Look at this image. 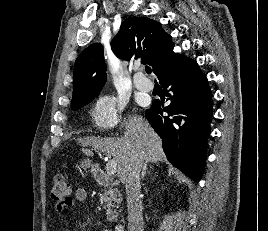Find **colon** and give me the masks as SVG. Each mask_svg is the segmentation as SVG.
<instances>
[{"instance_id":"1","label":"colon","mask_w":268,"mask_h":231,"mask_svg":"<svg viewBox=\"0 0 268 231\" xmlns=\"http://www.w3.org/2000/svg\"><path fill=\"white\" fill-rule=\"evenodd\" d=\"M50 194L53 200L61 204L69 203L70 187L65 177L60 174L54 176L51 183Z\"/></svg>"}]
</instances>
